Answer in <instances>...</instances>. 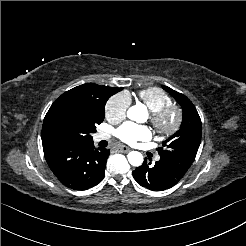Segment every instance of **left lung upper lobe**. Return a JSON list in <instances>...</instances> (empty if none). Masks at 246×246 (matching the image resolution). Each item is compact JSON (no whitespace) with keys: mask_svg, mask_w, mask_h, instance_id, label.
<instances>
[{"mask_svg":"<svg viewBox=\"0 0 246 246\" xmlns=\"http://www.w3.org/2000/svg\"><path fill=\"white\" fill-rule=\"evenodd\" d=\"M163 89L172 95L181 105L183 120L180 129L162 143L159 155L182 170L187 171L193 163L201 142V119L192 102L183 94L167 86Z\"/></svg>","mask_w":246,"mask_h":246,"instance_id":"5c2ea615","label":"left lung upper lobe"}]
</instances>
